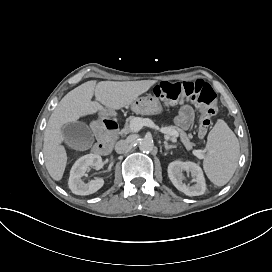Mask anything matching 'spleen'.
I'll list each match as a JSON object with an SVG mask.
<instances>
[{
    "instance_id": "obj_1",
    "label": "spleen",
    "mask_w": 272,
    "mask_h": 272,
    "mask_svg": "<svg viewBox=\"0 0 272 272\" xmlns=\"http://www.w3.org/2000/svg\"><path fill=\"white\" fill-rule=\"evenodd\" d=\"M206 149L204 171L213 184L224 186L235 173L240 156L239 141L224 120L218 119L209 132Z\"/></svg>"
}]
</instances>
